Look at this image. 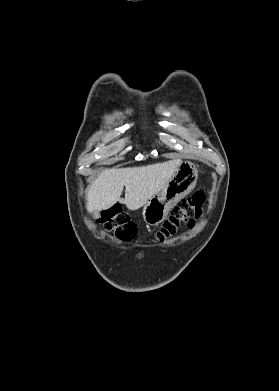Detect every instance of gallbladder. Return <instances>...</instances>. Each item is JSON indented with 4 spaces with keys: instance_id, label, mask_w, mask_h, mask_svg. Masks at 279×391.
<instances>
[{
    "instance_id": "obj_1",
    "label": "gallbladder",
    "mask_w": 279,
    "mask_h": 391,
    "mask_svg": "<svg viewBox=\"0 0 279 391\" xmlns=\"http://www.w3.org/2000/svg\"><path fill=\"white\" fill-rule=\"evenodd\" d=\"M94 216L97 217L98 216V212H94Z\"/></svg>"
}]
</instances>
